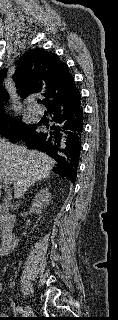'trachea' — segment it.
Segmentation results:
<instances>
[{
    "label": "trachea",
    "mask_w": 118,
    "mask_h": 320,
    "mask_svg": "<svg viewBox=\"0 0 118 320\" xmlns=\"http://www.w3.org/2000/svg\"><path fill=\"white\" fill-rule=\"evenodd\" d=\"M38 103H41V100H38Z\"/></svg>",
    "instance_id": "trachea-1"
}]
</instances>
